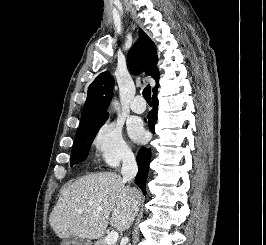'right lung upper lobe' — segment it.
I'll return each instance as SVG.
<instances>
[{
  "label": "right lung upper lobe",
  "mask_w": 266,
  "mask_h": 245,
  "mask_svg": "<svg viewBox=\"0 0 266 245\" xmlns=\"http://www.w3.org/2000/svg\"><path fill=\"white\" fill-rule=\"evenodd\" d=\"M158 61L156 47L142 29H139V40L129 51L128 65L130 70L138 74L143 70L156 81L153 92L158 88L159 72L155 67ZM114 87V78L106 71L97 76L88 89L80 124L108 116L107 110Z\"/></svg>",
  "instance_id": "obj_1"
}]
</instances>
